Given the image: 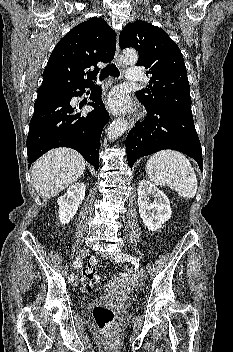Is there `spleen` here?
Wrapping results in <instances>:
<instances>
[{
	"label": "spleen",
	"instance_id": "spleen-1",
	"mask_svg": "<svg viewBox=\"0 0 233 352\" xmlns=\"http://www.w3.org/2000/svg\"><path fill=\"white\" fill-rule=\"evenodd\" d=\"M146 172L156 185L168 186L183 198H193L197 192L194 168L187 157L178 151L155 153L146 163Z\"/></svg>",
	"mask_w": 233,
	"mask_h": 352
}]
</instances>
